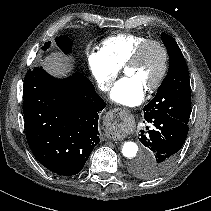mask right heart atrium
Returning <instances> with one entry per match:
<instances>
[{
  "label": "right heart atrium",
  "instance_id": "1",
  "mask_svg": "<svg viewBox=\"0 0 211 211\" xmlns=\"http://www.w3.org/2000/svg\"><path fill=\"white\" fill-rule=\"evenodd\" d=\"M87 62L98 88L102 91L108 90L118 76L119 68L112 64L100 49L89 50Z\"/></svg>",
  "mask_w": 211,
  "mask_h": 211
}]
</instances>
